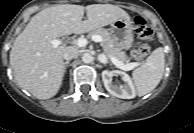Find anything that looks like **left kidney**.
<instances>
[{
  "label": "left kidney",
  "instance_id": "obj_1",
  "mask_svg": "<svg viewBox=\"0 0 194 133\" xmlns=\"http://www.w3.org/2000/svg\"><path fill=\"white\" fill-rule=\"evenodd\" d=\"M116 74L121 76L124 84L115 85L112 83V77ZM102 80L106 90L115 97L122 99H132L136 96L132 80L125 72L104 70L102 72Z\"/></svg>",
  "mask_w": 194,
  "mask_h": 133
}]
</instances>
